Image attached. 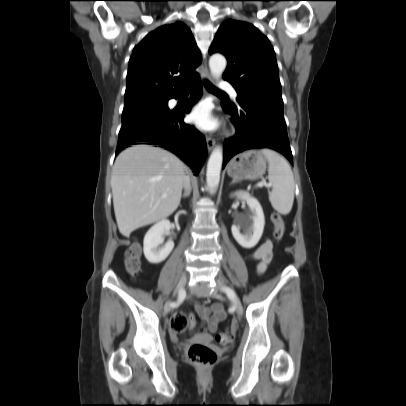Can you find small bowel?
Listing matches in <instances>:
<instances>
[{
	"instance_id": "obj_1",
	"label": "small bowel",
	"mask_w": 406,
	"mask_h": 406,
	"mask_svg": "<svg viewBox=\"0 0 406 406\" xmlns=\"http://www.w3.org/2000/svg\"><path fill=\"white\" fill-rule=\"evenodd\" d=\"M251 259L256 260L257 272L262 274L267 265L272 259V242L266 239L257 249L251 254ZM196 311L201 316L203 323L209 332L214 333L217 330L218 324L225 318L226 313L221 303L215 302L210 307L204 306L198 302H194ZM176 336V332H173Z\"/></svg>"
}]
</instances>
